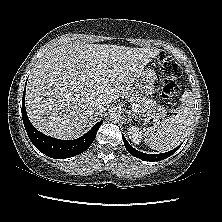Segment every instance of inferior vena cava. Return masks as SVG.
Here are the masks:
<instances>
[{"instance_id":"inferior-vena-cava-1","label":"inferior vena cava","mask_w":222,"mask_h":222,"mask_svg":"<svg viewBox=\"0 0 222 222\" xmlns=\"http://www.w3.org/2000/svg\"><path fill=\"white\" fill-rule=\"evenodd\" d=\"M107 107L105 105H96L93 109L90 110V114L93 116L101 115L106 111Z\"/></svg>"}]
</instances>
